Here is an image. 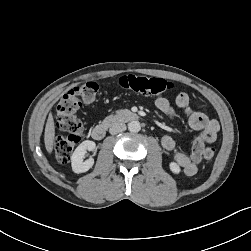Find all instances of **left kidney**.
I'll list each match as a JSON object with an SVG mask.
<instances>
[{
	"label": "left kidney",
	"instance_id": "5707ae66",
	"mask_svg": "<svg viewBox=\"0 0 251 251\" xmlns=\"http://www.w3.org/2000/svg\"><path fill=\"white\" fill-rule=\"evenodd\" d=\"M169 168L174 174H179L181 171L180 166L175 162H170Z\"/></svg>",
	"mask_w": 251,
	"mask_h": 251
}]
</instances>
